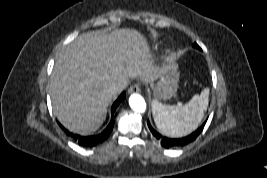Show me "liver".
I'll list each match as a JSON object with an SVG mask.
<instances>
[{"label": "liver", "instance_id": "1", "mask_svg": "<svg viewBox=\"0 0 267 178\" xmlns=\"http://www.w3.org/2000/svg\"><path fill=\"white\" fill-rule=\"evenodd\" d=\"M172 62L168 58L157 65L146 38L134 29L81 34L55 62L49 85L54 114L69 131L89 135L103 124L115 96L108 93L109 85L123 90L136 77L153 82Z\"/></svg>", "mask_w": 267, "mask_h": 178}]
</instances>
